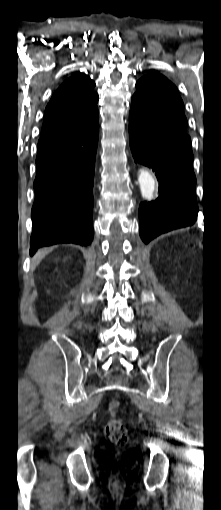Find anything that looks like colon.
<instances>
[{"label": "colon", "instance_id": "colon-1", "mask_svg": "<svg viewBox=\"0 0 221 510\" xmlns=\"http://www.w3.org/2000/svg\"><path fill=\"white\" fill-rule=\"evenodd\" d=\"M120 407V402L117 399H112L108 404V412L113 415ZM104 433L108 439L116 446H123L127 443L128 435L124 424L116 419L111 418L108 420L104 427Z\"/></svg>", "mask_w": 221, "mask_h": 510}]
</instances>
